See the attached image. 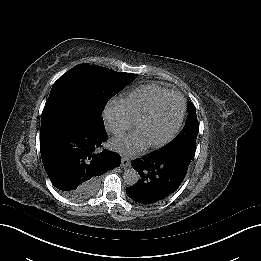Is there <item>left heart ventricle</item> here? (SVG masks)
Returning a JSON list of instances; mask_svg holds the SVG:
<instances>
[{
    "label": "left heart ventricle",
    "mask_w": 261,
    "mask_h": 261,
    "mask_svg": "<svg viewBox=\"0 0 261 261\" xmlns=\"http://www.w3.org/2000/svg\"><path fill=\"white\" fill-rule=\"evenodd\" d=\"M179 114L180 105L174 103L156 115L145 117L138 125L137 136L149 141L160 139L174 127Z\"/></svg>",
    "instance_id": "left-heart-ventricle-1"
}]
</instances>
